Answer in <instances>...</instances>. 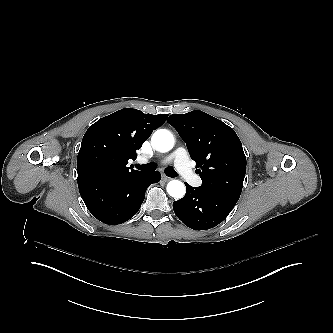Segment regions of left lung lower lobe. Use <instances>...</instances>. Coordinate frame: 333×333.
<instances>
[{"instance_id":"left-lung-lower-lobe-1","label":"left lung lower lobe","mask_w":333,"mask_h":333,"mask_svg":"<svg viewBox=\"0 0 333 333\" xmlns=\"http://www.w3.org/2000/svg\"><path fill=\"white\" fill-rule=\"evenodd\" d=\"M185 196L173 203L177 217L188 227L206 230L221 223L234 208L239 195L191 187L187 183Z\"/></svg>"}]
</instances>
